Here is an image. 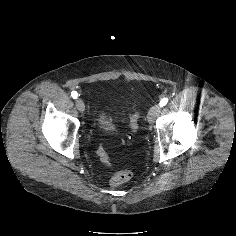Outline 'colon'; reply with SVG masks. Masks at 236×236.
Listing matches in <instances>:
<instances>
[{
	"label": "colon",
	"instance_id": "1",
	"mask_svg": "<svg viewBox=\"0 0 236 236\" xmlns=\"http://www.w3.org/2000/svg\"><path fill=\"white\" fill-rule=\"evenodd\" d=\"M139 117H140L139 111L135 112L131 116L130 128H131L132 134H135L138 130ZM97 155L102 163H104L107 166H111L108 155H107L106 150L103 145H99V147L97 149ZM132 177H133V173L130 170H123V171L115 173L112 176V178L110 180V184L112 186L116 187V186H119L125 182H128L129 180H131Z\"/></svg>",
	"mask_w": 236,
	"mask_h": 236
}]
</instances>
